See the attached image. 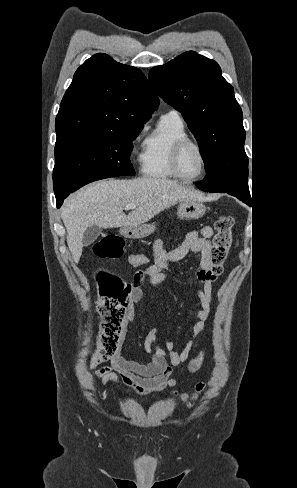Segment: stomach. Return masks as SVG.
Instances as JSON below:
<instances>
[{"label": "stomach", "instance_id": "1", "mask_svg": "<svg viewBox=\"0 0 297 488\" xmlns=\"http://www.w3.org/2000/svg\"><path fill=\"white\" fill-rule=\"evenodd\" d=\"M206 206L200 200H183L177 210L180 219H199L204 216ZM156 229L154 224H141L138 226L122 227L120 233L125 238H144L152 234Z\"/></svg>", "mask_w": 297, "mask_h": 488}]
</instances>
